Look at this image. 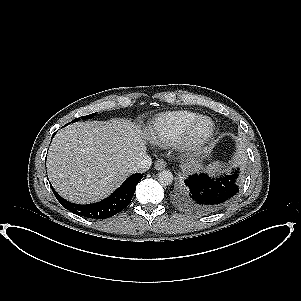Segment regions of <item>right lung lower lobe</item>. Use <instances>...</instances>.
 Returning a JSON list of instances; mask_svg holds the SVG:
<instances>
[{
    "mask_svg": "<svg viewBox=\"0 0 301 301\" xmlns=\"http://www.w3.org/2000/svg\"><path fill=\"white\" fill-rule=\"evenodd\" d=\"M143 178V174L131 175L114 193L101 202L94 204L78 205L68 202L60 197V195L53 189L55 197L67 210L93 219L109 218L130 203L138 182Z\"/></svg>",
    "mask_w": 301,
    "mask_h": 301,
    "instance_id": "98d812e1",
    "label": "right lung lower lobe"
}]
</instances>
